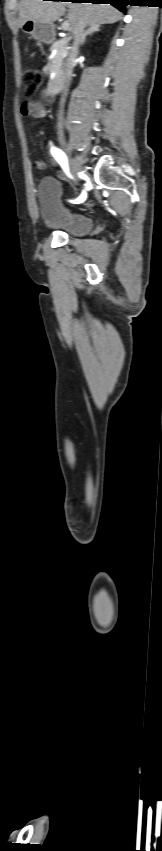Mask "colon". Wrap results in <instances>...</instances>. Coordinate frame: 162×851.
Wrapping results in <instances>:
<instances>
[{
  "label": "colon",
  "mask_w": 162,
  "mask_h": 851,
  "mask_svg": "<svg viewBox=\"0 0 162 851\" xmlns=\"http://www.w3.org/2000/svg\"><path fill=\"white\" fill-rule=\"evenodd\" d=\"M24 80L26 91L32 94L38 89L41 82V76L38 71L29 69L24 72Z\"/></svg>",
  "instance_id": "colon-1"
}]
</instances>
